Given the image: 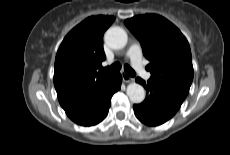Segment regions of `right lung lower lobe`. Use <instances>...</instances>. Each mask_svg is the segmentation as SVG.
<instances>
[{
  "mask_svg": "<svg viewBox=\"0 0 230 155\" xmlns=\"http://www.w3.org/2000/svg\"><path fill=\"white\" fill-rule=\"evenodd\" d=\"M122 76L116 73L106 86L90 99L75 106L65 108L68 117L82 126H93L100 123L108 114L111 97L121 87Z\"/></svg>",
  "mask_w": 230,
  "mask_h": 155,
  "instance_id": "98d812e1",
  "label": "right lung lower lobe"
}]
</instances>
